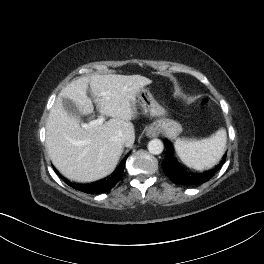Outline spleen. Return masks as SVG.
<instances>
[{
    "instance_id": "3e777b00",
    "label": "spleen",
    "mask_w": 264,
    "mask_h": 264,
    "mask_svg": "<svg viewBox=\"0 0 264 264\" xmlns=\"http://www.w3.org/2000/svg\"><path fill=\"white\" fill-rule=\"evenodd\" d=\"M226 141V130L221 128L202 140L177 139L174 147L185 165L196 170H205L212 168L221 159L226 149Z\"/></svg>"
}]
</instances>
